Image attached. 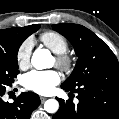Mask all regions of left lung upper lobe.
<instances>
[{"label": "left lung upper lobe", "mask_w": 119, "mask_h": 119, "mask_svg": "<svg viewBox=\"0 0 119 119\" xmlns=\"http://www.w3.org/2000/svg\"><path fill=\"white\" fill-rule=\"evenodd\" d=\"M52 28L73 45L78 60L61 86L75 89L88 84L119 83V63L111 49L91 30L79 24H54Z\"/></svg>", "instance_id": "5c2ea615"}]
</instances>
